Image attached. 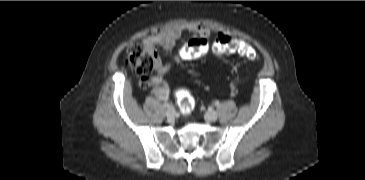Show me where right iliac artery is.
Listing matches in <instances>:
<instances>
[{"mask_svg": "<svg viewBox=\"0 0 365 180\" xmlns=\"http://www.w3.org/2000/svg\"><path fill=\"white\" fill-rule=\"evenodd\" d=\"M163 105H164L165 107L170 106L168 102H164V104H163Z\"/></svg>", "mask_w": 365, "mask_h": 180, "instance_id": "right-iliac-artery-1", "label": "right iliac artery"}]
</instances>
